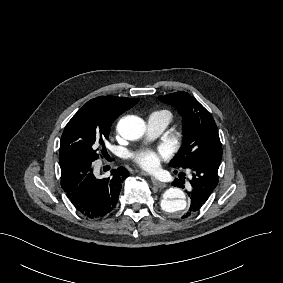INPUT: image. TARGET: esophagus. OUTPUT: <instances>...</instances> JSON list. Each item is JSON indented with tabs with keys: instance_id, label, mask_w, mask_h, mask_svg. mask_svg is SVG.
I'll return each instance as SVG.
<instances>
[{
	"instance_id": "1",
	"label": "esophagus",
	"mask_w": 283,
	"mask_h": 283,
	"mask_svg": "<svg viewBox=\"0 0 283 283\" xmlns=\"http://www.w3.org/2000/svg\"><path fill=\"white\" fill-rule=\"evenodd\" d=\"M144 175H146V173H144ZM151 181H152V183H153L156 187H158V188H165V187H167V184H166V183L161 182V181L157 180V179L154 178V177L151 178Z\"/></svg>"
}]
</instances>
